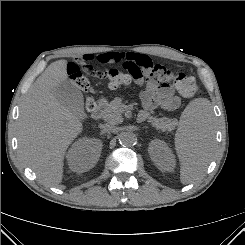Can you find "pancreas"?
<instances>
[{
	"mask_svg": "<svg viewBox=\"0 0 245 245\" xmlns=\"http://www.w3.org/2000/svg\"><path fill=\"white\" fill-rule=\"evenodd\" d=\"M124 111V106L122 104V99L116 97L112 100L103 115V120L110 125L119 124L122 122V112ZM149 122L153 127L162 131H171L174 130L178 125V121L175 119L169 118H157L150 117Z\"/></svg>",
	"mask_w": 245,
	"mask_h": 245,
	"instance_id": "obj_1",
	"label": "pancreas"
}]
</instances>
